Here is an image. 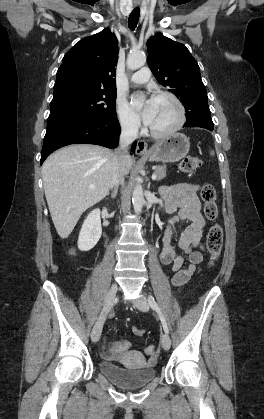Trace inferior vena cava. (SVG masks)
I'll return each mask as SVG.
<instances>
[{
    "instance_id": "1",
    "label": "inferior vena cava",
    "mask_w": 264,
    "mask_h": 419,
    "mask_svg": "<svg viewBox=\"0 0 264 419\" xmlns=\"http://www.w3.org/2000/svg\"><path fill=\"white\" fill-rule=\"evenodd\" d=\"M140 124L135 120H126L122 123V130L119 137V148L114 151L112 161V187L118 188L119 184L124 185L123 160L127 154V147L133 143L137 136Z\"/></svg>"
}]
</instances>
